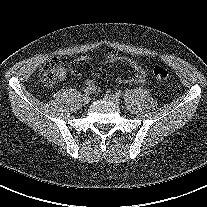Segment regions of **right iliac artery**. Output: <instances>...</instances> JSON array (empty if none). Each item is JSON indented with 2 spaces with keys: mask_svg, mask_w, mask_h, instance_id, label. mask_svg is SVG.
Returning <instances> with one entry per match:
<instances>
[{
  "mask_svg": "<svg viewBox=\"0 0 207 207\" xmlns=\"http://www.w3.org/2000/svg\"><path fill=\"white\" fill-rule=\"evenodd\" d=\"M84 92H85L86 95H90V94L92 93V91H91L90 88H86V89L84 90Z\"/></svg>",
  "mask_w": 207,
  "mask_h": 207,
  "instance_id": "82829eb1",
  "label": "right iliac artery"
}]
</instances>
